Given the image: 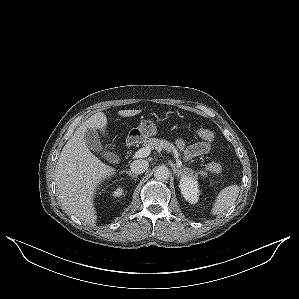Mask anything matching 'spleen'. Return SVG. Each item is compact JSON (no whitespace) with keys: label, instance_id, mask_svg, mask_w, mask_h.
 I'll list each match as a JSON object with an SVG mask.
<instances>
[{"label":"spleen","instance_id":"obj_1","mask_svg":"<svg viewBox=\"0 0 299 299\" xmlns=\"http://www.w3.org/2000/svg\"><path fill=\"white\" fill-rule=\"evenodd\" d=\"M240 188L237 185H231L221 190L211 209L212 215H220L226 212L236 201Z\"/></svg>","mask_w":299,"mask_h":299}]
</instances>
